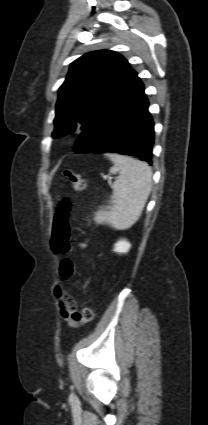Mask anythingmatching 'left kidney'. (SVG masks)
I'll list each match as a JSON object with an SVG mask.
<instances>
[{
	"label": "left kidney",
	"mask_w": 208,
	"mask_h": 425,
	"mask_svg": "<svg viewBox=\"0 0 208 425\" xmlns=\"http://www.w3.org/2000/svg\"><path fill=\"white\" fill-rule=\"evenodd\" d=\"M131 247V244L126 240H119L115 246L114 251L118 253H127Z\"/></svg>",
	"instance_id": "1"
}]
</instances>
